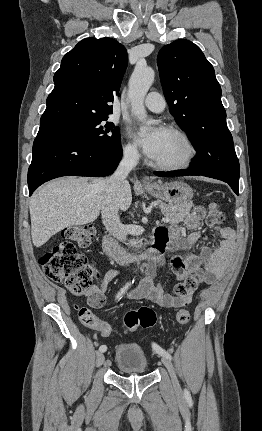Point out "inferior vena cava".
<instances>
[{
  "label": "inferior vena cava",
  "instance_id": "inferior-vena-cava-1",
  "mask_svg": "<svg viewBox=\"0 0 262 431\" xmlns=\"http://www.w3.org/2000/svg\"><path fill=\"white\" fill-rule=\"evenodd\" d=\"M138 160L139 153L136 150L124 149L122 160L115 172L104 182L106 196L101 207L102 221L107 231L122 242L126 240L127 231L118 215V197L128 183L126 177Z\"/></svg>",
  "mask_w": 262,
  "mask_h": 431
}]
</instances>
